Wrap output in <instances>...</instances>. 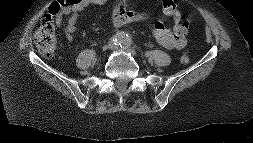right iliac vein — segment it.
Listing matches in <instances>:
<instances>
[{
	"label": "right iliac vein",
	"instance_id": "1",
	"mask_svg": "<svg viewBox=\"0 0 253 143\" xmlns=\"http://www.w3.org/2000/svg\"><path fill=\"white\" fill-rule=\"evenodd\" d=\"M112 48V44H106V45H104L103 47H102V50L104 51V52H106V51H108L109 49H111Z\"/></svg>",
	"mask_w": 253,
	"mask_h": 143
}]
</instances>
